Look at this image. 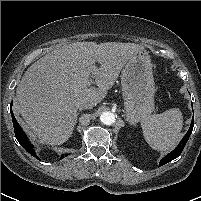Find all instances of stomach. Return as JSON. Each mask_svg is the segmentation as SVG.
Listing matches in <instances>:
<instances>
[{
  "instance_id": "0dacf381",
  "label": "stomach",
  "mask_w": 201,
  "mask_h": 201,
  "mask_svg": "<svg viewBox=\"0 0 201 201\" xmlns=\"http://www.w3.org/2000/svg\"><path fill=\"white\" fill-rule=\"evenodd\" d=\"M124 108L130 123L144 121L154 110L155 82L149 53L137 51L122 71Z\"/></svg>"
}]
</instances>
